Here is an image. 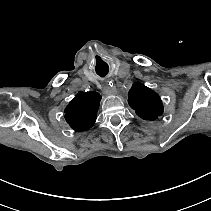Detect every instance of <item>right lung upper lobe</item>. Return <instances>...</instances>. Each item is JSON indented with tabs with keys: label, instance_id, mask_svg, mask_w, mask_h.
Masks as SVG:
<instances>
[{
	"label": "right lung upper lobe",
	"instance_id": "1",
	"mask_svg": "<svg viewBox=\"0 0 211 211\" xmlns=\"http://www.w3.org/2000/svg\"><path fill=\"white\" fill-rule=\"evenodd\" d=\"M101 96L99 93L79 92L65 109V119L75 131L90 129L97 118Z\"/></svg>",
	"mask_w": 211,
	"mask_h": 211
}]
</instances>
